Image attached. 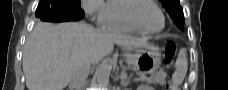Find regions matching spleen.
Listing matches in <instances>:
<instances>
[{
  "label": "spleen",
  "instance_id": "spleen-1",
  "mask_svg": "<svg viewBox=\"0 0 228 90\" xmlns=\"http://www.w3.org/2000/svg\"><path fill=\"white\" fill-rule=\"evenodd\" d=\"M187 70L188 63L186 58V52L184 50H180L178 58L176 60V70L172 75V82L175 86H179L182 84Z\"/></svg>",
  "mask_w": 228,
  "mask_h": 90
}]
</instances>
